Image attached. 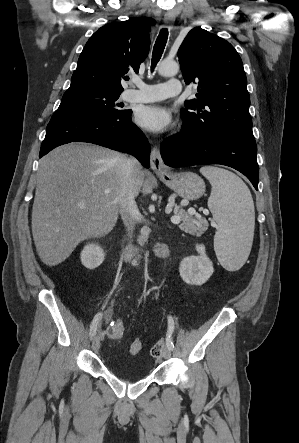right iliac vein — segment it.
Instances as JSON below:
<instances>
[{
    "instance_id": "obj_1",
    "label": "right iliac vein",
    "mask_w": 299,
    "mask_h": 443,
    "mask_svg": "<svg viewBox=\"0 0 299 443\" xmlns=\"http://www.w3.org/2000/svg\"><path fill=\"white\" fill-rule=\"evenodd\" d=\"M92 350L94 351V352H97L98 351V349H99V347H100V340H99V337L98 336H96V337H94V339H93V341H92Z\"/></svg>"
}]
</instances>
